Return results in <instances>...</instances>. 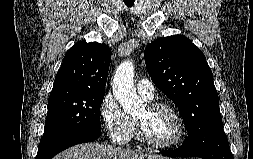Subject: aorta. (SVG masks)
<instances>
[{
	"instance_id": "aorta-1",
	"label": "aorta",
	"mask_w": 253,
	"mask_h": 159,
	"mask_svg": "<svg viewBox=\"0 0 253 159\" xmlns=\"http://www.w3.org/2000/svg\"><path fill=\"white\" fill-rule=\"evenodd\" d=\"M113 94L125 113H134L143 108V101L136 94L134 87V65L125 61L115 71L112 82Z\"/></svg>"
}]
</instances>
